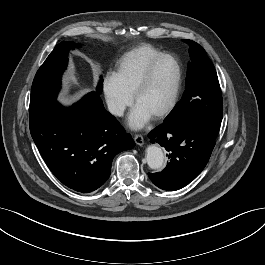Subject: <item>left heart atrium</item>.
<instances>
[{
  "instance_id": "obj_1",
  "label": "left heart atrium",
  "mask_w": 265,
  "mask_h": 265,
  "mask_svg": "<svg viewBox=\"0 0 265 265\" xmlns=\"http://www.w3.org/2000/svg\"><path fill=\"white\" fill-rule=\"evenodd\" d=\"M151 117V115L140 107L134 106L129 115L128 123L133 129H141L150 121Z\"/></svg>"
}]
</instances>
